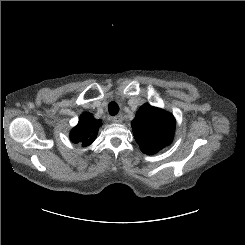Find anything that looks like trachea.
I'll use <instances>...</instances> for the list:
<instances>
[{"instance_id": "trachea-1", "label": "trachea", "mask_w": 245, "mask_h": 245, "mask_svg": "<svg viewBox=\"0 0 245 245\" xmlns=\"http://www.w3.org/2000/svg\"><path fill=\"white\" fill-rule=\"evenodd\" d=\"M108 111L113 116L119 112V106L116 102H110L108 105Z\"/></svg>"}]
</instances>
